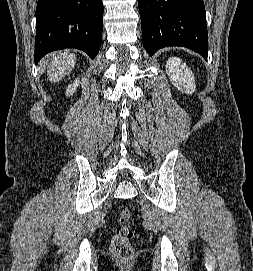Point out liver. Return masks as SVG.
<instances>
[{
  "label": "liver",
  "instance_id": "liver-1",
  "mask_svg": "<svg viewBox=\"0 0 253 271\" xmlns=\"http://www.w3.org/2000/svg\"><path fill=\"white\" fill-rule=\"evenodd\" d=\"M76 64V57L69 51L50 55L47 63V75L51 82H59Z\"/></svg>",
  "mask_w": 253,
  "mask_h": 271
}]
</instances>
